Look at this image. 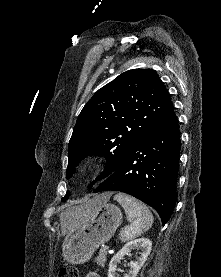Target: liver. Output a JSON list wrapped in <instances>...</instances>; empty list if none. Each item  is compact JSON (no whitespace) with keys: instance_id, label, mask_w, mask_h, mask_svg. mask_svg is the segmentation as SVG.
Returning a JSON list of instances; mask_svg holds the SVG:
<instances>
[{"instance_id":"6515ba94","label":"liver","mask_w":221,"mask_h":277,"mask_svg":"<svg viewBox=\"0 0 221 277\" xmlns=\"http://www.w3.org/2000/svg\"><path fill=\"white\" fill-rule=\"evenodd\" d=\"M112 193H104L101 194L99 196L96 197V203L100 204L103 202H107L110 197H111ZM80 211V207H74L71 209H67L65 211H63L60 214V222H61V230H62V234H66L68 231V223L69 221Z\"/></svg>"}]
</instances>
